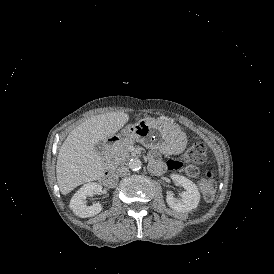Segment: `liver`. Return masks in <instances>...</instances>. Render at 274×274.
Returning a JSON list of instances; mask_svg holds the SVG:
<instances>
[{
  "label": "liver",
  "instance_id": "6515ba94",
  "mask_svg": "<svg viewBox=\"0 0 274 274\" xmlns=\"http://www.w3.org/2000/svg\"><path fill=\"white\" fill-rule=\"evenodd\" d=\"M128 120L123 112L98 115L76 127L64 141L57 160V182L62 194L104 174L94 145L113 135Z\"/></svg>",
  "mask_w": 274,
  "mask_h": 274
}]
</instances>
